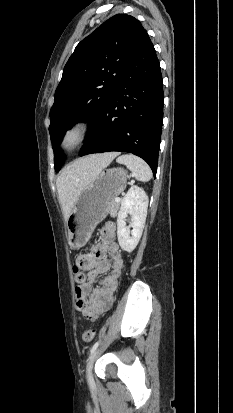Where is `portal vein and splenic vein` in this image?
<instances>
[{
	"label": "portal vein and splenic vein",
	"mask_w": 233,
	"mask_h": 413,
	"mask_svg": "<svg viewBox=\"0 0 233 413\" xmlns=\"http://www.w3.org/2000/svg\"><path fill=\"white\" fill-rule=\"evenodd\" d=\"M120 200H121V199H120L119 197H116V198H115V202H120Z\"/></svg>",
	"instance_id": "obj_1"
}]
</instances>
